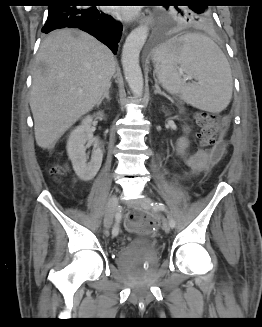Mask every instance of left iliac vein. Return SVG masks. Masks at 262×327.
Listing matches in <instances>:
<instances>
[{
    "instance_id": "left-iliac-vein-1",
    "label": "left iliac vein",
    "mask_w": 262,
    "mask_h": 327,
    "mask_svg": "<svg viewBox=\"0 0 262 327\" xmlns=\"http://www.w3.org/2000/svg\"><path fill=\"white\" fill-rule=\"evenodd\" d=\"M140 205L145 208V209H150L151 208V203H152V200L151 198L149 197H143L141 200H140ZM162 228L163 230L166 232V233H169L170 231V224L169 222L166 220V219H163L162 221Z\"/></svg>"
}]
</instances>
